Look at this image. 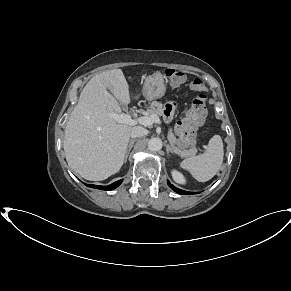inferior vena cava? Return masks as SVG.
<instances>
[{
	"mask_svg": "<svg viewBox=\"0 0 291 291\" xmlns=\"http://www.w3.org/2000/svg\"><path fill=\"white\" fill-rule=\"evenodd\" d=\"M147 134V130L141 126H135L132 128L130 136L131 138L142 137Z\"/></svg>",
	"mask_w": 291,
	"mask_h": 291,
	"instance_id": "obj_1",
	"label": "inferior vena cava"
}]
</instances>
